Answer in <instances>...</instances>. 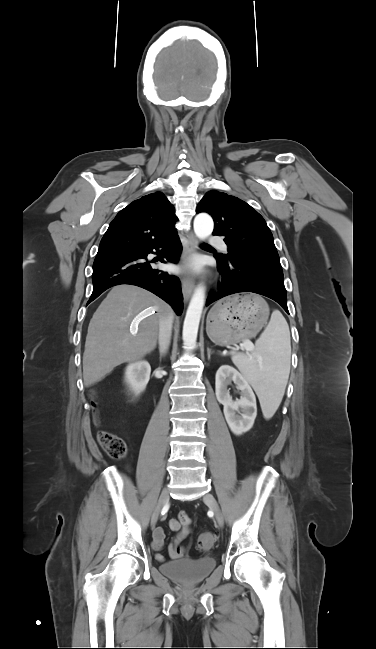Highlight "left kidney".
<instances>
[{"label":"left kidney","mask_w":376,"mask_h":649,"mask_svg":"<svg viewBox=\"0 0 376 649\" xmlns=\"http://www.w3.org/2000/svg\"><path fill=\"white\" fill-rule=\"evenodd\" d=\"M232 381L241 391L240 400L233 401L227 389ZM215 393L218 402L224 406V416L231 431L241 435L250 430L257 416V405L255 394L245 377L231 366H221L215 377Z\"/></svg>","instance_id":"left-kidney-1"}]
</instances>
